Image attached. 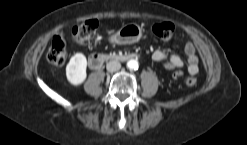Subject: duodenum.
I'll return each instance as SVG.
<instances>
[{
    "instance_id": "1",
    "label": "duodenum",
    "mask_w": 247,
    "mask_h": 145,
    "mask_svg": "<svg viewBox=\"0 0 247 145\" xmlns=\"http://www.w3.org/2000/svg\"><path fill=\"white\" fill-rule=\"evenodd\" d=\"M138 57H139V55L135 54V53L113 55V56H110V57H106V56H104L102 54H98V53H93L88 58V64L92 69L98 70V69H100L102 67L103 63L107 59L114 60V61L125 62V61H128V60L136 59Z\"/></svg>"
}]
</instances>
